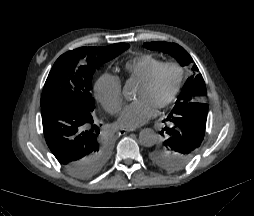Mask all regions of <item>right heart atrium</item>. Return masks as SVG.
Returning <instances> with one entry per match:
<instances>
[{"instance_id": "obj_1", "label": "right heart atrium", "mask_w": 254, "mask_h": 216, "mask_svg": "<svg viewBox=\"0 0 254 216\" xmlns=\"http://www.w3.org/2000/svg\"><path fill=\"white\" fill-rule=\"evenodd\" d=\"M96 100L110 114H116L122 107V83L121 80L111 74H103L99 77L94 87Z\"/></svg>"}]
</instances>
